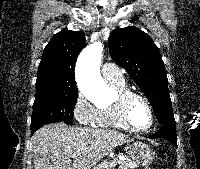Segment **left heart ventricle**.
Wrapping results in <instances>:
<instances>
[{
  "label": "left heart ventricle",
  "instance_id": "1",
  "mask_svg": "<svg viewBox=\"0 0 200 169\" xmlns=\"http://www.w3.org/2000/svg\"><path fill=\"white\" fill-rule=\"evenodd\" d=\"M129 118L137 128L146 127L150 122V113L146 104L140 99H133L129 105Z\"/></svg>",
  "mask_w": 200,
  "mask_h": 169
}]
</instances>
